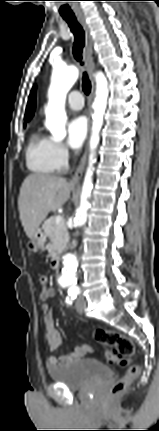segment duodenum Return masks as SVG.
<instances>
[{
    "mask_svg": "<svg viewBox=\"0 0 159 431\" xmlns=\"http://www.w3.org/2000/svg\"><path fill=\"white\" fill-rule=\"evenodd\" d=\"M61 260H62L61 254H55V255H53L52 259H51V266H52V268H55V269L58 268L60 266V264H61Z\"/></svg>",
    "mask_w": 159,
    "mask_h": 431,
    "instance_id": "410a0bca",
    "label": "duodenum"
}]
</instances>
